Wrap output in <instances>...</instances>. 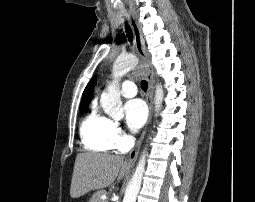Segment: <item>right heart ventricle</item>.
I'll list each match as a JSON object with an SVG mask.
<instances>
[{
  "mask_svg": "<svg viewBox=\"0 0 255 202\" xmlns=\"http://www.w3.org/2000/svg\"><path fill=\"white\" fill-rule=\"evenodd\" d=\"M113 122L100 114L97 109H92L81 124V138L86 149L94 152L111 150Z\"/></svg>",
  "mask_w": 255,
  "mask_h": 202,
  "instance_id": "right-heart-ventricle-1",
  "label": "right heart ventricle"
}]
</instances>
